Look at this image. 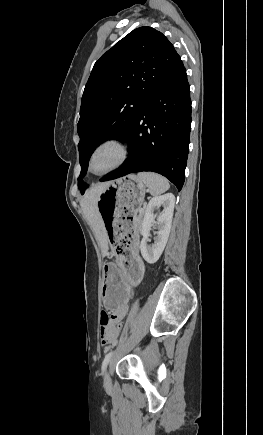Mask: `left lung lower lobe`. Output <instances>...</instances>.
I'll return each mask as SVG.
<instances>
[{
    "instance_id": "1",
    "label": "left lung lower lobe",
    "mask_w": 263,
    "mask_h": 435,
    "mask_svg": "<svg viewBox=\"0 0 263 435\" xmlns=\"http://www.w3.org/2000/svg\"><path fill=\"white\" fill-rule=\"evenodd\" d=\"M191 129V99L182 61L158 87L140 111L127 136L131 150L121 169L100 181L133 172L152 171L179 190L184 183Z\"/></svg>"
}]
</instances>
